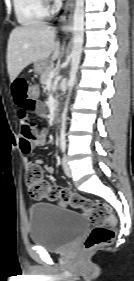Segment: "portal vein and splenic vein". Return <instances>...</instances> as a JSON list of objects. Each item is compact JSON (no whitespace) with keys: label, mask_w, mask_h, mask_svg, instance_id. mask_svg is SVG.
I'll use <instances>...</instances> for the list:
<instances>
[{"label":"portal vein and splenic vein","mask_w":134,"mask_h":281,"mask_svg":"<svg viewBox=\"0 0 134 281\" xmlns=\"http://www.w3.org/2000/svg\"><path fill=\"white\" fill-rule=\"evenodd\" d=\"M54 77H55V71L50 72L48 82H51Z\"/></svg>","instance_id":"1"}]
</instances>
